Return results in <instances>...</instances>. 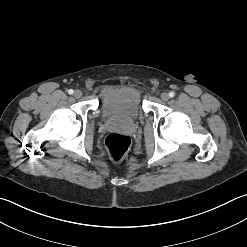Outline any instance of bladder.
Wrapping results in <instances>:
<instances>
[{
  "mask_svg": "<svg viewBox=\"0 0 247 247\" xmlns=\"http://www.w3.org/2000/svg\"><path fill=\"white\" fill-rule=\"evenodd\" d=\"M100 107L102 115L106 118L135 119L142 112L141 93L132 86H107L101 92Z\"/></svg>",
  "mask_w": 247,
  "mask_h": 247,
  "instance_id": "31cf9c89",
  "label": "bladder"
}]
</instances>
